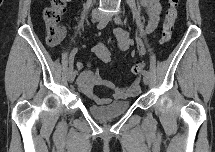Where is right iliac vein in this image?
<instances>
[{
  "instance_id": "63e3f726",
  "label": "right iliac vein",
  "mask_w": 215,
  "mask_h": 152,
  "mask_svg": "<svg viewBox=\"0 0 215 152\" xmlns=\"http://www.w3.org/2000/svg\"><path fill=\"white\" fill-rule=\"evenodd\" d=\"M92 18L94 22H99L103 18V16L100 14H94ZM74 79H75V73L73 72V70H71L69 71L68 80L69 82L72 83Z\"/></svg>"
}]
</instances>
